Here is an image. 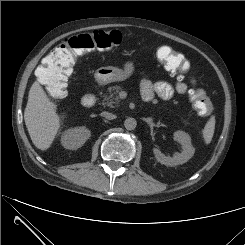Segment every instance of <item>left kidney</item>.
Here are the masks:
<instances>
[{
	"mask_svg": "<svg viewBox=\"0 0 245 245\" xmlns=\"http://www.w3.org/2000/svg\"><path fill=\"white\" fill-rule=\"evenodd\" d=\"M174 139L182 145V152L175 154L173 157L164 155L160 150L154 148L153 153L155 158L161 164L167 166H176L187 162L195 153V149L191 144L190 136L184 131H176Z\"/></svg>",
	"mask_w": 245,
	"mask_h": 245,
	"instance_id": "left-kidney-1",
	"label": "left kidney"
}]
</instances>
